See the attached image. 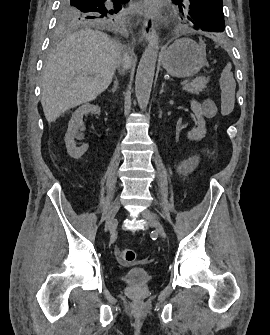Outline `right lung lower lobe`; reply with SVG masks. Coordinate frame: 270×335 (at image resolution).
I'll return each instance as SVG.
<instances>
[{"label": "right lung lower lobe", "mask_w": 270, "mask_h": 335, "mask_svg": "<svg viewBox=\"0 0 270 335\" xmlns=\"http://www.w3.org/2000/svg\"><path fill=\"white\" fill-rule=\"evenodd\" d=\"M107 1V0H106ZM105 1V2H106ZM110 1H112V2H115V4H118V5H124L125 3H127L129 0H121V1H115V0H110ZM108 4H111V3H109V2H106L105 3V5H108Z\"/></svg>", "instance_id": "1"}]
</instances>
